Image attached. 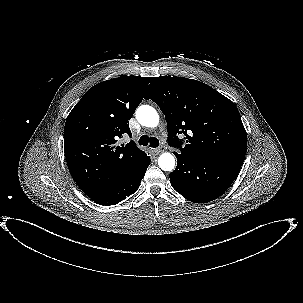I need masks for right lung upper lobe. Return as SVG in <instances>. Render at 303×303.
I'll return each instance as SVG.
<instances>
[{"label": "right lung upper lobe", "instance_id": "1", "mask_svg": "<svg viewBox=\"0 0 303 303\" xmlns=\"http://www.w3.org/2000/svg\"><path fill=\"white\" fill-rule=\"evenodd\" d=\"M152 78L126 76L90 88L68 115L64 152L69 171L79 188L93 198L126 180L146 159L131 140L128 120Z\"/></svg>", "mask_w": 303, "mask_h": 303}]
</instances>
